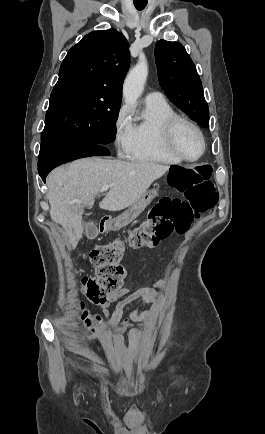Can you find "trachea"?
<instances>
[{"mask_svg": "<svg viewBox=\"0 0 265 434\" xmlns=\"http://www.w3.org/2000/svg\"><path fill=\"white\" fill-rule=\"evenodd\" d=\"M137 10H143L146 7V3H134Z\"/></svg>", "mask_w": 265, "mask_h": 434, "instance_id": "1", "label": "trachea"}]
</instances>
